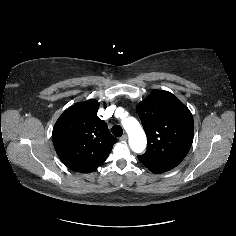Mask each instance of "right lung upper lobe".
<instances>
[{"label":"right lung upper lobe","instance_id":"right-lung-upper-lobe-1","mask_svg":"<svg viewBox=\"0 0 236 236\" xmlns=\"http://www.w3.org/2000/svg\"><path fill=\"white\" fill-rule=\"evenodd\" d=\"M99 103H77L56 121L52 140L60 160L71 170L90 173L108 157L117 139L97 116Z\"/></svg>","mask_w":236,"mask_h":236}]
</instances>
